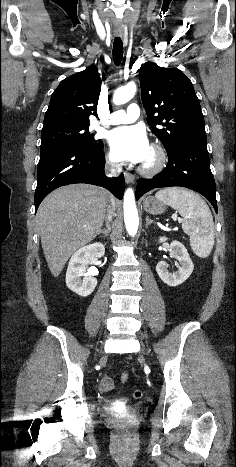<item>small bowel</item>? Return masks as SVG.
Segmentation results:
<instances>
[{"mask_svg":"<svg viewBox=\"0 0 236 467\" xmlns=\"http://www.w3.org/2000/svg\"><path fill=\"white\" fill-rule=\"evenodd\" d=\"M128 379V373H123L122 376H121V381L122 383H125ZM114 385H113V381L111 379V377L109 376H104L102 379H101V382H100V389L104 392H108V391H111L113 389Z\"/></svg>","mask_w":236,"mask_h":467,"instance_id":"1","label":"small bowel"}]
</instances>
